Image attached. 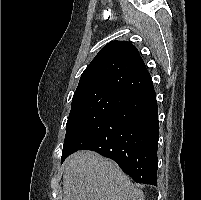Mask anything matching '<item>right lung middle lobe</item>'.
<instances>
[{"label":"right lung middle lobe","instance_id":"obj_1","mask_svg":"<svg viewBox=\"0 0 201 200\" xmlns=\"http://www.w3.org/2000/svg\"><path fill=\"white\" fill-rule=\"evenodd\" d=\"M128 97L112 91L98 90L74 94L66 124L61 163L66 158L68 143L84 128L113 109L123 105Z\"/></svg>","mask_w":201,"mask_h":200}]
</instances>
